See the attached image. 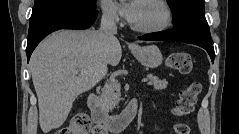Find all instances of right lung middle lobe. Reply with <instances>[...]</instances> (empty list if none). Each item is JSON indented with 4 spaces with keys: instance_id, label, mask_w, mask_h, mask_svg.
<instances>
[{
    "instance_id": "obj_1",
    "label": "right lung middle lobe",
    "mask_w": 239,
    "mask_h": 134,
    "mask_svg": "<svg viewBox=\"0 0 239 134\" xmlns=\"http://www.w3.org/2000/svg\"><path fill=\"white\" fill-rule=\"evenodd\" d=\"M63 4H73L87 9H96V0H35L31 17H35L49 8Z\"/></svg>"
}]
</instances>
